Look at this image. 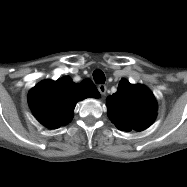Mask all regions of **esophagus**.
Wrapping results in <instances>:
<instances>
[{
	"label": "esophagus",
	"instance_id": "34e87169",
	"mask_svg": "<svg viewBox=\"0 0 187 187\" xmlns=\"http://www.w3.org/2000/svg\"><path fill=\"white\" fill-rule=\"evenodd\" d=\"M98 90H99L101 95H104L106 93L107 88L104 84H99L98 85Z\"/></svg>",
	"mask_w": 187,
	"mask_h": 187
}]
</instances>
